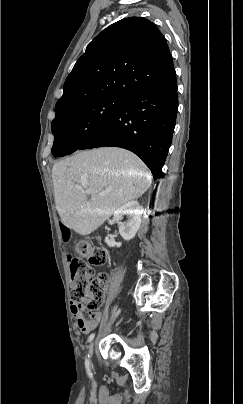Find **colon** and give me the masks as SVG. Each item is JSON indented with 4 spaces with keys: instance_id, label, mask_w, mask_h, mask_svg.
Segmentation results:
<instances>
[{
    "instance_id": "obj_1",
    "label": "colon",
    "mask_w": 243,
    "mask_h": 404,
    "mask_svg": "<svg viewBox=\"0 0 243 404\" xmlns=\"http://www.w3.org/2000/svg\"><path fill=\"white\" fill-rule=\"evenodd\" d=\"M107 260V253L88 241L76 244V255L72 258L70 269L76 284L71 292V299L78 303L86 301L88 311L93 316L103 302L106 276H94V267L103 265Z\"/></svg>"
}]
</instances>
